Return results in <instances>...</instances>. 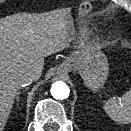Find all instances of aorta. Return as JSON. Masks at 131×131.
<instances>
[{"mask_svg":"<svg viewBox=\"0 0 131 131\" xmlns=\"http://www.w3.org/2000/svg\"><path fill=\"white\" fill-rule=\"evenodd\" d=\"M51 95L56 100H64L69 97L70 89L63 81H56L50 89Z\"/></svg>","mask_w":131,"mask_h":131,"instance_id":"762f6f07","label":"aorta"}]
</instances>
